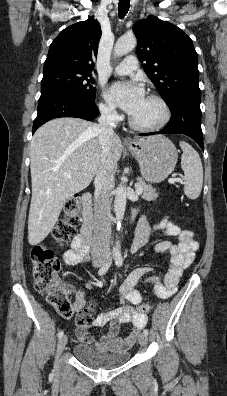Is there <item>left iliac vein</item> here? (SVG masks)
<instances>
[{"label":"left iliac vein","mask_w":227,"mask_h":396,"mask_svg":"<svg viewBox=\"0 0 227 396\" xmlns=\"http://www.w3.org/2000/svg\"><path fill=\"white\" fill-rule=\"evenodd\" d=\"M138 341H139V344H140L141 346H145V345L147 344V341H148L147 335H145L144 333H143V334H140V335H139V338H138Z\"/></svg>","instance_id":"1"}]
</instances>
